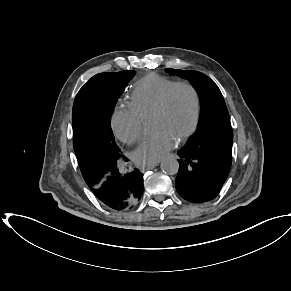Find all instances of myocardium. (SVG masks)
Returning <instances> with one entry per match:
<instances>
[{"mask_svg":"<svg viewBox=\"0 0 291 291\" xmlns=\"http://www.w3.org/2000/svg\"><path fill=\"white\" fill-rule=\"evenodd\" d=\"M180 88L186 89L190 92L194 104L193 119L190 126L184 132L180 133L176 138L177 141L182 142L190 138L196 132L201 119V97L197 88L192 83L188 81H178L171 85L164 93L159 106L154 110L151 116H165L168 114L171 108L173 94Z\"/></svg>","mask_w":291,"mask_h":291,"instance_id":"myocardium-1","label":"myocardium"}]
</instances>
